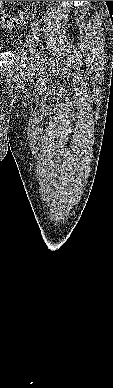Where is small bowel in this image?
Returning <instances> with one entry per match:
<instances>
[{"label":"small bowel","instance_id":"obj_1","mask_svg":"<svg viewBox=\"0 0 113 388\" xmlns=\"http://www.w3.org/2000/svg\"><path fill=\"white\" fill-rule=\"evenodd\" d=\"M5 1H0V8L3 7Z\"/></svg>","mask_w":113,"mask_h":388}]
</instances>
